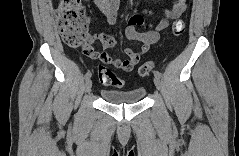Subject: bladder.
<instances>
[{"mask_svg": "<svg viewBox=\"0 0 239 156\" xmlns=\"http://www.w3.org/2000/svg\"><path fill=\"white\" fill-rule=\"evenodd\" d=\"M146 95L144 87H136L126 91L120 90H101L102 98L112 104H133L140 102Z\"/></svg>", "mask_w": 239, "mask_h": 156, "instance_id": "31cf9c89", "label": "bladder"}]
</instances>
